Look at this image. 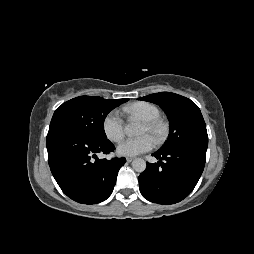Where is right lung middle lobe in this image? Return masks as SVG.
<instances>
[{"mask_svg": "<svg viewBox=\"0 0 254 254\" xmlns=\"http://www.w3.org/2000/svg\"><path fill=\"white\" fill-rule=\"evenodd\" d=\"M128 99L107 100L80 96L63 103L53 114L50 127H64L93 139L105 140L104 120L107 114Z\"/></svg>", "mask_w": 254, "mask_h": 254, "instance_id": "obj_1", "label": "right lung middle lobe"}]
</instances>
